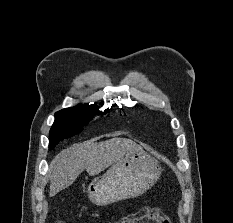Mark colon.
I'll use <instances>...</instances> for the list:
<instances>
[{
	"label": "colon",
	"mask_w": 233,
	"mask_h": 223,
	"mask_svg": "<svg viewBox=\"0 0 233 223\" xmlns=\"http://www.w3.org/2000/svg\"><path fill=\"white\" fill-rule=\"evenodd\" d=\"M120 223H171V221L161 211L147 208L145 213L123 219Z\"/></svg>",
	"instance_id": "5ec220e1"
}]
</instances>
